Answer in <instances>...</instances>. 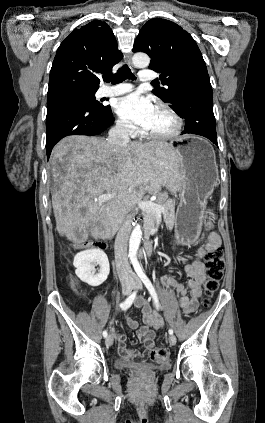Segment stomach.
Wrapping results in <instances>:
<instances>
[{
    "label": "stomach",
    "mask_w": 265,
    "mask_h": 423,
    "mask_svg": "<svg viewBox=\"0 0 265 423\" xmlns=\"http://www.w3.org/2000/svg\"><path fill=\"white\" fill-rule=\"evenodd\" d=\"M178 156L180 202L175 215L178 243L195 242L201 231L205 197L216 175L215 153L210 143L196 135H185L169 144Z\"/></svg>",
    "instance_id": "stomach-1"
}]
</instances>
